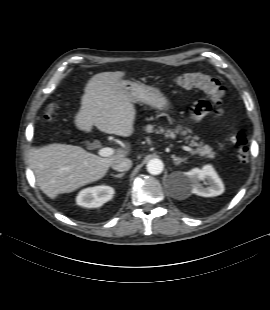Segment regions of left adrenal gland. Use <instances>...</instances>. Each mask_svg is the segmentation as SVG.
Masks as SVG:
<instances>
[{
    "label": "left adrenal gland",
    "mask_w": 270,
    "mask_h": 310,
    "mask_svg": "<svg viewBox=\"0 0 270 310\" xmlns=\"http://www.w3.org/2000/svg\"><path fill=\"white\" fill-rule=\"evenodd\" d=\"M173 161H174V164L175 165H179L181 162H185L187 158H180V157H177L175 156L174 154L171 156Z\"/></svg>",
    "instance_id": "1"
}]
</instances>
